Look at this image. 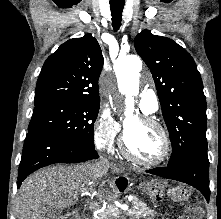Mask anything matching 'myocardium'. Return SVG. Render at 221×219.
<instances>
[{
  "label": "myocardium",
  "mask_w": 221,
  "mask_h": 219,
  "mask_svg": "<svg viewBox=\"0 0 221 219\" xmlns=\"http://www.w3.org/2000/svg\"><path fill=\"white\" fill-rule=\"evenodd\" d=\"M138 119L143 124L156 128L159 131V133L161 134L162 141H163V149H162L160 156L154 160H145L140 157H137L136 155L131 153L129 151V149L127 148L124 136L122 137V139L120 141V146H119L120 152L127 159H129L137 164H140L142 166H146V167L160 166L163 163H165L171 155L172 144H171L169 133H168L167 129L159 121H157L151 117L140 116Z\"/></svg>",
  "instance_id": "obj_1"
}]
</instances>
